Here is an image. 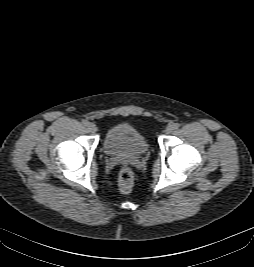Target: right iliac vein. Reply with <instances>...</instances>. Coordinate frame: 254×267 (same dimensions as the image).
<instances>
[{
  "label": "right iliac vein",
  "mask_w": 254,
  "mask_h": 267,
  "mask_svg": "<svg viewBox=\"0 0 254 267\" xmlns=\"http://www.w3.org/2000/svg\"><path fill=\"white\" fill-rule=\"evenodd\" d=\"M87 128L92 133L97 131V127H96V125L94 123H88Z\"/></svg>",
  "instance_id": "right-iliac-vein-1"
}]
</instances>
